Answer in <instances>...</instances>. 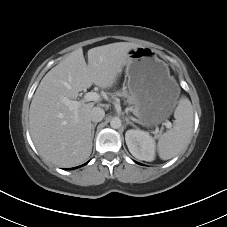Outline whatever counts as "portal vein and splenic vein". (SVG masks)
<instances>
[{
	"label": "portal vein and splenic vein",
	"mask_w": 227,
	"mask_h": 227,
	"mask_svg": "<svg viewBox=\"0 0 227 227\" xmlns=\"http://www.w3.org/2000/svg\"><path fill=\"white\" fill-rule=\"evenodd\" d=\"M100 100V95L96 92H88L85 94L84 98L81 101H72L68 98H63L62 102L70 108V110H73L75 114H77V109L84 104L85 102L89 101H99ZM164 126L168 129L172 127V123L170 121H166L164 123ZM158 131H156L157 133Z\"/></svg>",
	"instance_id": "obj_1"
}]
</instances>
